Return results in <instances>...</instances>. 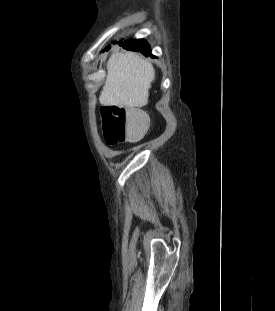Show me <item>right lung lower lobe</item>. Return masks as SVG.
<instances>
[{"label":"right lung lower lobe","instance_id":"98d812e1","mask_svg":"<svg viewBox=\"0 0 275 311\" xmlns=\"http://www.w3.org/2000/svg\"><path fill=\"white\" fill-rule=\"evenodd\" d=\"M119 45L127 50L139 51L145 56L155 58V56L151 54L150 46L143 39L124 41L119 43Z\"/></svg>","mask_w":275,"mask_h":311}]
</instances>
